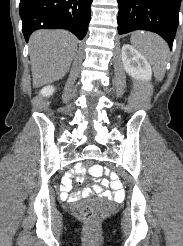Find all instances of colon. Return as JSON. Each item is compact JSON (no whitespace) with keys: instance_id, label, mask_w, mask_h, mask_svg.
<instances>
[{"instance_id":"colon-1","label":"colon","mask_w":183,"mask_h":246,"mask_svg":"<svg viewBox=\"0 0 183 246\" xmlns=\"http://www.w3.org/2000/svg\"><path fill=\"white\" fill-rule=\"evenodd\" d=\"M84 167H98L96 162H91V160H84ZM81 218L88 224H94L98 220V212L91 206H85L80 211Z\"/></svg>"}]
</instances>
